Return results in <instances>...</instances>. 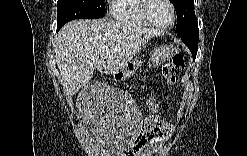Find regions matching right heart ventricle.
<instances>
[{
  "label": "right heart ventricle",
  "mask_w": 247,
  "mask_h": 156,
  "mask_svg": "<svg viewBox=\"0 0 247 156\" xmlns=\"http://www.w3.org/2000/svg\"><path fill=\"white\" fill-rule=\"evenodd\" d=\"M141 0H118L112 3L111 13L116 20L138 26H149L141 13Z\"/></svg>",
  "instance_id": "right-heart-ventricle-1"
}]
</instances>
